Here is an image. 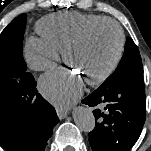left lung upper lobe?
<instances>
[{"label": "left lung upper lobe", "mask_w": 151, "mask_h": 151, "mask_svg": "<svg viewBox=\"0 0 151 151\" xmlns=\"http://www.w3.org/2000/svg\"><path fill=\"white\" fill-rule=\"evenodd\" d=\"M134 73H143V65L138 47L131 38H128L123 57L116 70L95 91L107 90Z\"/></svg>", "instance_id": "left-lung-upper-lobe-1"}]
</instances>
